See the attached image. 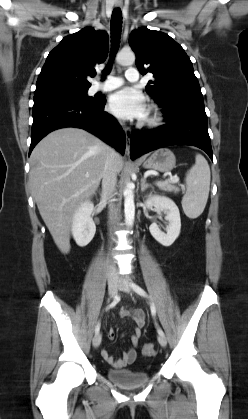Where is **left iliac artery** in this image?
Instances as JSON below:
<instances>
[{"label":"left iliac artery","mask_w":248,"mask_h":419,"mask_svg":"<svg viewBox=\"0 0 248 419\" xmlns=\"http://www.w3.org/2000/svg\"><path fill=\"white\" fill-rule=\"evenodd\" d=\"M131 286H132V288L134 289V291L136 293H138L139 295L144 296V297L150 299V297L148 296V294L141 287H139L135 283H131ZM150 308H151L152 316L155 317L156 316V308H155V305H154L153 302H150ZM156 327H157L158 334L159 335H164V332L162 331V329L157 324H156Z\"/></svg>","instance_id":"left-iliac-artery-1"}]
</instances>
